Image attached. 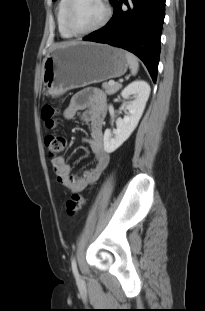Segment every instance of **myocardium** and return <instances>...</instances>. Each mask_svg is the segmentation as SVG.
Masks as SVG:
<instances>
[{
  "label": "myocardium",
  "instance_id": "1",
  "mask_svg": "<svg viewBox=\"0 0 205 311\" xmlns=\"http://www.w3.org/2000/svg\"><path fill=\"white\" fill-rule=\"evenodd\" d=\"M75 2L76 0H68L67 5H66V10H65V25L68 31L73 36H85V35H89L91 33L97 32L101 30L103 27H105L107 23L110 21L111 16H112V8L109 3V0H99V2L104 7V11H105V14L102 20L96 26L90 29L82 30V31L75 29V27L73 26L71 22V13H72V9H73Z\"/></svg>",
  "mask_w": 205,
  "mask_h": 311
}]
</instances>
